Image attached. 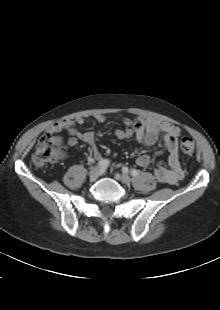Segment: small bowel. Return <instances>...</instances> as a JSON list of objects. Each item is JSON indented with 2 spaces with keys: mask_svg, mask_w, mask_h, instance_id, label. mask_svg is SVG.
Masks as SVG:
<instances>
[{
  "mask_svg": "<svg viewBox=\"0 0 220 310\" xmlns=\"http://www.w3.org/2000/svg\"><path fill=\"white\" fill-rule=\"evenodd\" d=\"M98 122H104V115H96ZM83 117L75 119H63L50 126V132L65 131L69 135L68 145L74 147L79 141H82L90 147V157L95 161H101L102 155L96 145V136L91 131L81 132L76 125L84 123ZM123 128L115 131L118 139H127L135 137V139L146 147H152L157 142L160 135H163L165 147L168 150V166L157 164L154 167V178L160 183L170 185L178 184L184 178V171L180 163L179 153V137L182 134L181 128L178 126L159 121L151 118H136L131 120L125 118L122 121ZM150 157L148 155H140L136 158V164L139 167H148L150 165Z\"/></svg>",
  "mask_w": 220,
  "mask_h": 310,
  "instance_id": "1",
  "label": "small bowel"
}]
</instances>
